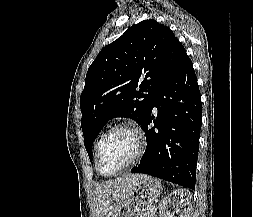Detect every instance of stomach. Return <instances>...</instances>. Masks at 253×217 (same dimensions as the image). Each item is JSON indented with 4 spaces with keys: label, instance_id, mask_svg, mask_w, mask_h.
<instances>
[{
    "label": "stomach",
    "instance_id": "1",
    "mask_svg": "<svg viewBox=\"0 0 253 217\" xmlns=\"http://www.w3.org/2000/svg\"><path fill=\"white\" fill-rule=\"evenodd\" d=\"M162 191L161 183L143 175L134 185L130 197L120 209L118 217H142Z\"/></svg>",
    "mask_w": 253,
    "mask_h": 217
}]
</instances>
